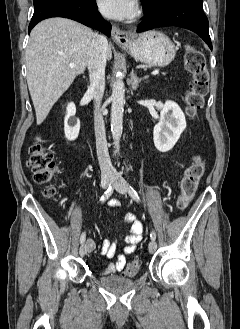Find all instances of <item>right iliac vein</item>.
<instances>
[{
	"mask_svg": "<svg viewBox=\"0 0 240 329\" xmlns=\"http://www.w3.org/2000/svg\"><path fill=\"white\" fill-rule=\"evenodd\" d=\"M111 181H112V177L111 176H104V177H102V180H101V186H102V188H104V189L108 188V186L110 185ZM79 252H80V255L81 256H85L86 255V253H87L86 243H82V245L80 246Z\"/></svg>",
	"mask_w": 240,
	"mask_h": 329,
	"instance_id": "obj_1",
	"label": "right iliac vein"
}]
</instances>
